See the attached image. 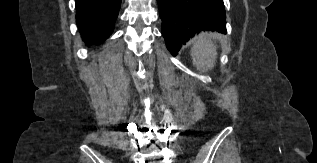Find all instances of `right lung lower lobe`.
<instances>
[{"instance_id":"right-lung-lower-lobe-1","label":"right lung lower lobe","mask_w":317,"mask_h":163,"mask_svg":"<svg viewBox=\"0 0 317 163\" xmlns=\"http://www.w3.org/2000/svg\"><path fill=\"white\" fill-rule=\"evenodd\" d=\"M76 21L88 44L102 42L113 31L121 0H75Z\"/></svg>"}]
</instances>
